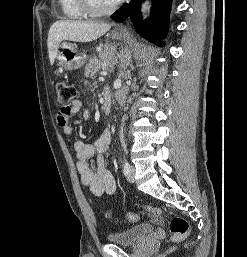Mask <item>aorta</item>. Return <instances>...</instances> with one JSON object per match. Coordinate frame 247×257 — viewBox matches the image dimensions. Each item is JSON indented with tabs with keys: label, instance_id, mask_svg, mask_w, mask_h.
<instances>
[{
	"label": "aorta",
	"instance_id": "1",
	"mask_svg": "<svg viewBox=\"0 0 247 257\" xmlns=\"http://www.w3.org/2000/svg\"><path fill=\"white\" fill-rule=\"evenodd\" d=\"M149 7H150V0H145L142 4V12L144 15L147 14Z\"/></svg>",
	"mask_w": 247,
	"mask_h": 257
}]
</instances>
